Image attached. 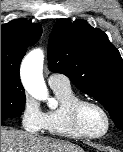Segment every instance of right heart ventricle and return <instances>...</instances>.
<instances>
[{
	"label": "right heart ventricle",
	"instance_id": "obj_1",
	"mask_svg": "<svg viewBox=\"0 0 123 152\" xmlns=\"http://www.w3.org/2000/svg\"><path fill=\"white\" fill-rule=\"evenodd\" d=\"M52 89L59 101V106L45 113L44 130L51 136L70 139L82 138L83 136L73 127L70 118V107L79 97L74 93L71 87Z\"/></svg>",
	"mask_w": 123,
	"mask_h": 152
}]
</instances>
